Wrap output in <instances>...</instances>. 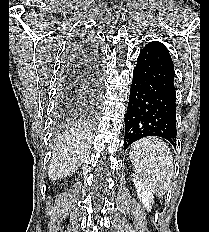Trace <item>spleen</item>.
Here are the masks:
<instances>
[{"instance_id":"3e777b00","label":"spleen","mask_w":209,"mask_h":232,"mask_svg":"<svg viewBox=\"0 0 209 232\" xmlns=\"http://www.w3.org/2000/svg\"><path fill=\"white\" fill-rule=\"evenodd\" d=\"M135 173L154 192L165 194L173 177V156L168 145L159 138L136 141L130 148Z\"/></svg>"}]
</instances>
